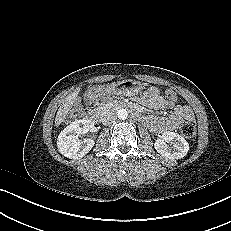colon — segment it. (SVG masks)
Instances as JSON below:
<instances>
[{
	"instance_id": "5ec220e1",
	"label": "colon",
	"mask_w": 231,
	"mask_h": 231,
	"mask_svg": "<svg viewBox=\"0 0 231 231\" xmlns=\"http://www.w3.org/2000/svg\"><path fill=\"white\" fill-rule=\"evenodd\" d=\"M166 97L172 102H176L178 99L177 94L173 90H167ZM77 111L78 107L76 106L72 111V115H74ZM179 131L184 138L192 140L196 136V124L193 120L184 121L180 124Z\"/></svg>"
}]
</instances>
